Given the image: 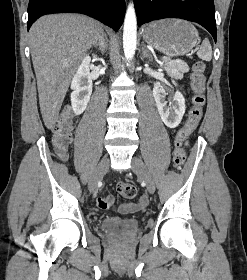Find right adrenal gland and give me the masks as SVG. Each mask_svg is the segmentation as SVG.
<instances>
[{"instance_id":"obj_1","label":"right adrenal gland","mask_w":247,"mask_h":280,"mask_svg":"<svg viewBox=\"0 0 247 280\" xmlns=\"http://www.w3.org/2000/svg\"><path fill=\"white\" fill-rule=\"evenodd\" d=\"M95 47H98V50L100 51L101 54H104L106 49H107V42L105 41V34L104 32L102 33L101 38L98 40L97 43L94 45Z\"/></svg>"}]
</instances>
